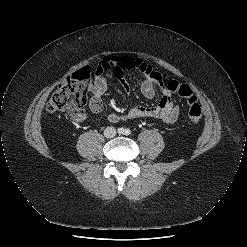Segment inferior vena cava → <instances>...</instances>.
<instances>
[{"label": "inferior vena cava", "instance_id": "inferior-vena-cava-1", "mask_svg": "<svg viewBox=\"0 0 247 247\" xmlns=\"http://www.w3.org/2000/svg\"><path fill=\"white\" fill-rule=\"evenodd\" d=\"M116 135V129L114 127H107L104 130V136L106 138H113Z\"/></svg>", "mask_w": 247, "mask_h": 247}]
</instances>
